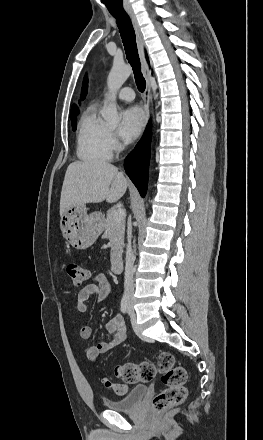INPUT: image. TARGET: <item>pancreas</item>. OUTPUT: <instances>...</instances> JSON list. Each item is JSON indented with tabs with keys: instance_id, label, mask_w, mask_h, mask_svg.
I'll return each instance as SVG.
<instances>
[{
	"instance_id": "1",
	"label": "pancreas",
	"mask_w": 263,
	"mask_h": 440,
	"mask_svg": "<svg viewBox=\"0 0 263 440\" xmlns=\"http://www.w3.org/2000/svg\"><path fill=\"white\" fill-rule=\"evenodd\" d=\"M116 209L107 211L104 221V237L110 240L111 263L121 258L124 246L125 219L117 222L114 218Z\"/></svg>"
}]
</instances>
